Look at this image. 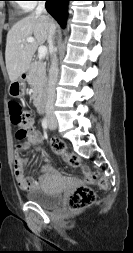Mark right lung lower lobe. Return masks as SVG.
<instances>
[{
	"label": "right lung lower lobe",
	"instance_id": "right-lung-lower-lobe-1",
	"mask_svg": "<svg viewBox=\"0 0 133 253\" xmlns=\"http://www.w3.org/2000/svg\"><path fill=\"white\" fill-rule=\"evenodd\" d=\"M45 7L49 14L57 20L62 28L65 27L67 19V3L70 0H45Z\"/></svg>",
	"mask_w": 133,
	"mask_h": 253
}]
</instances>
